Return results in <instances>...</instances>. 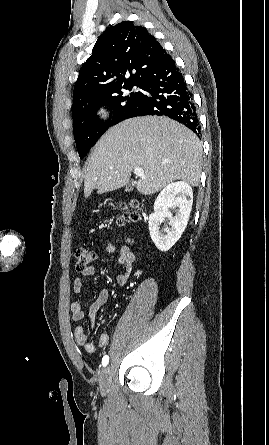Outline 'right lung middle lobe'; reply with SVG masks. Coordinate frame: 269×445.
<instances>
[{
    "label": "right lung middle lobe",
    "mask_w": 269,
    "mask_h": 445,
    "mask_svg": "<svg viewBox=\"0 0 269 445\" xmlns=\"http://www.w3.org/2000/svg\"><path fill=\"white\" fill-rule=\"evenodd\" d=\"M133 86L141 88L139 83L124 85L115 91L95 96L72 108L74 139L80 159L87 154L109 127L125 120L133 110L141 92L124 93L121 91L122 88L130 91ZM102 105H108L113 109V119L108 123L95 121V113Z\"/></svg>",
    "instance_id": "dd1d6c3e"
}]
</instances>
